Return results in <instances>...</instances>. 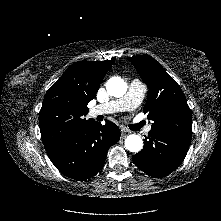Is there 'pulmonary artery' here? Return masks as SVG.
Segmentation results:
<instances>
[{
    "instance_id": "pulmonary-artery-1",
    "label": "pulmonary artery",
    "mask_w": 221,
    "mask_h": 221,
    "mask_svg": "<svg viewBox=\"0 0 221 221\" xmlns=\"http://www.w3.org/2000/svg\"><path fill=\"white\" fill-rule=\"evenodd\" d=\"M146 93V86L138 80H133L128 92L120 99L97 105L90 110L92 116L109 114L120 111H130L135 109L142 101ZM151 126H147L145 131L149 132Z\"/></svg>"
}]
</instances>
